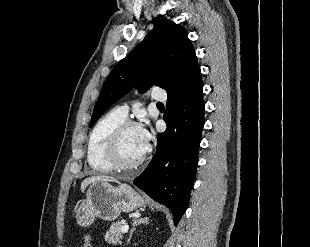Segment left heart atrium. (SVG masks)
I'll return each mask as SVG.
<instances>
[{
    "label": "left heart atrium",
    "instance_id": "obj_1",
    "mask_svg": "<svg viewBox=\"0 0 310 247\" xmlns=\"http://www.w3.org/2000/svg\"><path fill=\"white\" fill-rule=\"evenodd\" d=\"M141 134H142V138H143L145 145L148 146V142H149V138H150V134H149L148 130L145 128H141Z\"/></svg>",
    "mask_w": 310,
    "mask_h": 247
}]
</instances>
